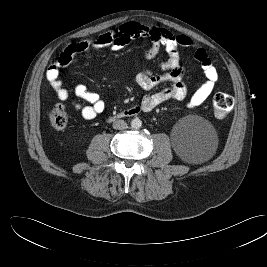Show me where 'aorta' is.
Segmentation results:
<instances>
[{"mask_svg":"<svg viewBox=\"0 0 267 267\" xmlns=\"http://www.w3.org/2000/svg\"><path fill=\"white\" fill-rule=\"evenodd\" d=\"M141 126H142V121L139 118H134L131 121V127L133 129H139V128H141Z\"/></svg>","mask_w":267,"mask_h":267,"instance_id":"obj_1","label":"aorta"}]
</instances>
